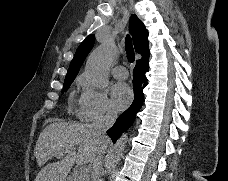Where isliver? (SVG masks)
<instances>
[{
  "label": "liver",
  "mask_w": 228,
  "mask_h": 181,
  "mask_svg": "<svg viewBox=\"0 0 228 181\" xmlns=\"http://www.w3.org/2000/svg\"><path fill=\"white\" fill-rule=\"evenodd\" d=\"M50 125L43 129L34 149V157L38 167H43L47 161L58 155L64 157L57 163H48L39 171L34 181H67L74 165L92 163L94 157L106 151L110 141L100 139L88 123H62L60 119H51ZM78 145V153L70 151Z\"/></svg>",
  "instance_id": "obj_1"
}]
</instances>
